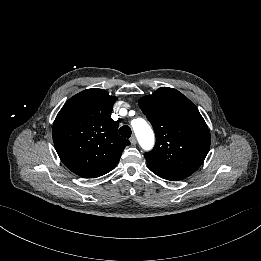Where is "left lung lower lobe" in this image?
<instances>
[{"label": "left lung lower lobe", "mask_w": 261, "mask_h": 261, "mask_svg": "<svg viewBox=\"0 0 261 261\" xmlns=\"http://www.w3.org/2000/svg\"><path fill=\"white\" fill-rule=\"evenodd\" d=\"M148 167L154 174H156L157 176H159L163 179H166V180L178 181V180H182V179L188 177V176H185L183 174L164 170V169H160L158 167H155V166H152V165H149V164H148Z\"/></svg>", "instance_id": "obj_1"}]
</instances>
